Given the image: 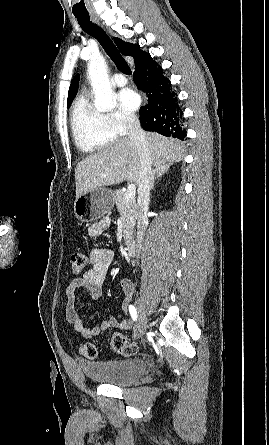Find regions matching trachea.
<instances>
[{"label": "trachea", "instance_id": "obj_1", "mask_svg": "<svg viewBox=\"0 0 269 445\" xmlns=\"http://www.w3.org/2000/svg\"><path fill=\"white\" fill-rule=\"evenodd\" d=\"M80 27L90 36L94 37L101 44L105 52L115 63L117 68L126 75H131L132 71L127 62L123 59L118 49L109 38V36L96 24H94L89 15H75Z\"/></svg>", "mask_w": 269, "mask_h": 445}]
</instances>
